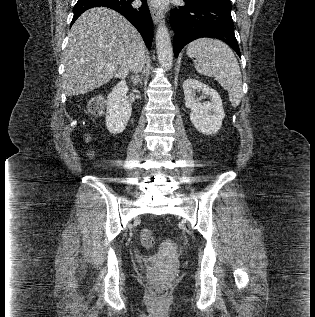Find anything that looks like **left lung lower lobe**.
<instances>
[{
  "mask_svg": "<svg viewBox=\"0 0 315 317\" xmlns=\"http://www.w3.org/2000/svg\"><path fill=\"white\" fill-rule=\"evenodd\" d=\"M186 6L173 9L170 24L175 32L173 49L175 57L191 41L201 37L223 40L241 57L234 34L231 4L216 0H184Z\"/></svg>",
  "mask_w": 315,
  "mask_h": 317,
  "instance_id": "left-lung-lower-lobe-1",
  "label": "left lung lower lobe"
}]
</instances>
